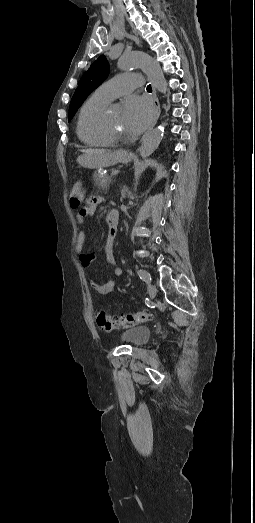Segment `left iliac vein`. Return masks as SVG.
Listing matches in <instances>:
<instances>
[{
    "label": "left iliac vein",
    "instance_id": "4c4485c4",
    "mask_svg": "<svg viewBox=\"0 0 255 523\" xmlns=\"http://www.w3.org/2000/svg\"><path fill=\"white\" fill-rule=\"evenodd\" d=\"M145 273H146V276L148 278V291H149V294H150L151 297H155L156 293H157V290H156L155 286H153L151 284V276H150V274L148 272H146V271H145Z\"/></svg>",
    "mask_w": 255,
    "mask_h": 523
}]
</instances>
